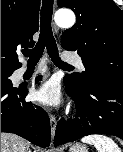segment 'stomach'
Masks as SVG:
<instances>
[{
    "mask_svg": "<svg viewBox=\"0 0 123 152\" xmlns=\"http://www.w3.org/2000/svg\"><path fill=\"white\" fill-rule=\"evenodd\" d=\"M69 152H88V150L84 145L80 143H74L71 145Z\"/></svg>",
    "mask_w": 123,
    "mask_h": 152,
    "instance_id": "0dacf381",
    "label": "stomach"
}]
</instances>
